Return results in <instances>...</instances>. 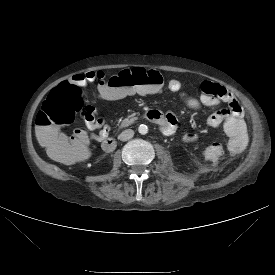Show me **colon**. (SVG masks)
Returning a JSON list of instances; mask_svg holds the SVG:
<instances>
[{"mask_svg": "<svg viewBox=\"0 0 275 275\" xmlns=\"http://www.w3.org/2000/svg\"><path fill=\"white\" fill-rule=\"evenodd\" d=\"M163 87V76L159 71L136 69L103 81L100 91L110 100L120 97L131 100L155 95ZM82 94V87L78 84L62 82L50 92L37 114L39 140L55 160L70 156L78 144L75 137L64 135L61 128L74 123L77 116L85 120L94 112L93 107L83 104Z\"/></svg>", "mask_w": 275, "mask_h": 275, "instance_id": "colon-1", "label": "colon"}]
</instances>
